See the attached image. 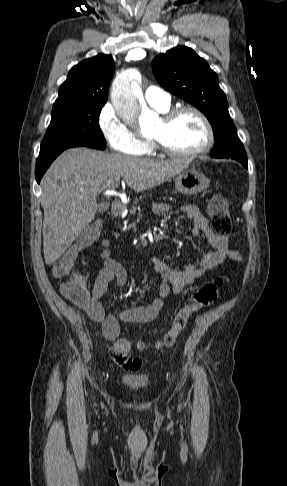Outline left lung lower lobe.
Returning a JSON list of instances; mask_svg holds the SVG:
<instances>
[{
    "label": "left lung lower lobe",
    "mask_w": 287,
    "mask_h": 486,
    "mask_svg": "<svg viewBox=\"0 0 287 486\" xmlns=\"http://www.w3.org/2000/svg\"><path fill=\"white\" fill-rule=\"evenodd\" d=\"M237 161L241 162V163H242V165H243L245 168H248V160H247V158H244V159H239V160H237Z\"/></svg>",
    "instance_id": "0a47b994"
}]
</instances>
